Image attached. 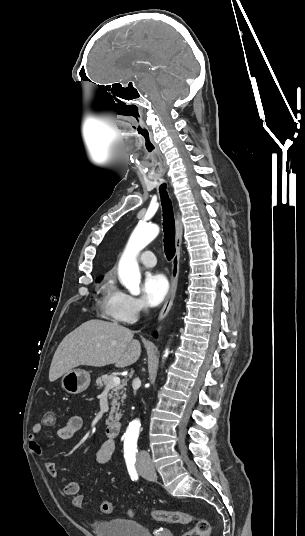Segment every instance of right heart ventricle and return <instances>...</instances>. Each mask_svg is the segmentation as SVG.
<instances>
[{
	"label": "right heart ventricle",
	"instance_id": "e07e8e85",
	"mask_svg": "<svg viewBox=\"0 0 305 536\" xmlns=\"http://www.w3.org/2000/svg\"><path fill=\"white\" fill-rule=\"evenodd\" d=\"M114 291H115V287L113 285V282L110 279L106 278L104 280L103 285H102L101 294H100L101 301H102L105 309L108 307L110 299H111Z\"/></svg>",
	"mask_w": 305,
	"mask_h": 536
}]
</instances>
